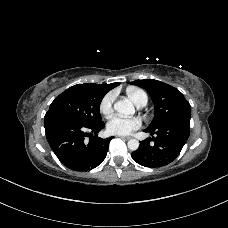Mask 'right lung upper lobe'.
Wrapping results in <instances>:
<instances>
[{
  "instance_id": "cb5924a9",
  "label": "right lung upper lobe",
  "mask_w": 228,
  "mask_h": 228,
  "mask_svg": "<svg viewBox=\"0 0 228 228\" xmlns=\"http://www.w3.org/2000/svg\"><path fill=\"white\" fill-rule=\"evenodd\" d=\"M120 83H111V84H105V85H99L102 89H104L106 92L113 89L114 87L118 86Z\"/></svg>"
}]
</instances>
